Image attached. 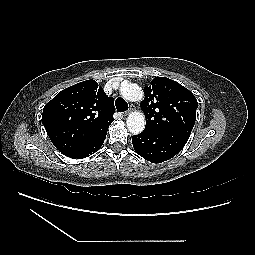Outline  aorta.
I'll list each match as a JSON object with an SVG mask.
<instances>
[{
	"mask_svg": "<svg viewBox=\"0 0 255 255\" xmlns=\"http://www.w3.org/2000/svg\"><path fill=\"white\" fill-rule=\"evenodd\" d=\"M121 95L124 99L136 102L143 98L144 94L140 86L135 83H126L121 86ZM127 128L129 132L136 135L141 133L145 128L144 114L138 111L132 112L127 117Z\"/></svg>",
	"mask_w": 255,
	"mask_h": 255,
	"instance_id": "obj_1",
	"label": "aorta"
}]
</instances>
